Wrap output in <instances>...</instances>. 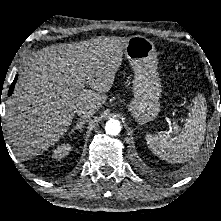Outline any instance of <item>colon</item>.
Listing matches in <instances>:
<instances>
[{
    "label": "colon",
    "mask_w": 221,
    "mask_h": 221,
    "mask_svg": "<svg viewBox=\"0 0 221 221\" xmlns=\"http://www.w3.org/2000/svg\"><path fill=\"white\" fill-rule=\"evenodd\" d=\"M176 70L180 74H185L187 72V66L184 63H178Z\"/></svg>",
    "instance_id": "obj_1"
}]
</instances>
